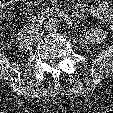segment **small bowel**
<instances>
[{
	"mask_svg": "<svg viewBox=\"0 0 113 113\" xmlns=\"http://www.w3.org/2000/svg\"><path fill=\"white\" fill-rule=\"evenodd\" d=\"M11 1H22L27 8L39 5L42 0H0L1 5H6ZM72 13L76 16H89L94 18L99 24L106 25L113 32V4L108 0H100L97 5L76 3L73 5Z\"/></svg>",
	"mask_w": 113,
	"mask_h": 113,
	"instance_id": "1",
	"label": "small bowel"
}]
</instances>
